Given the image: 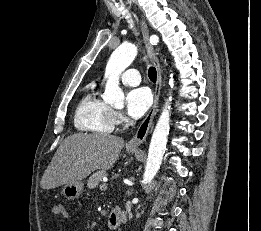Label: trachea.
I'll list each match as a JSON object with an SVG mask.
<instances>
[{
	"mask_svg": "<svg viewBox=\"0 0 261 231\" xmlns=\"http://www.w3.org/2000/svg\"><path fill=\"white\" fill-rule=\"evenodd\" d=\"M148 76H149V79H150L152 82H156L157 72H156L155 67H150V68H149V70H148Z\"/></svg>",
	"mask_w": 261,
	"mask_h": 231,
	"instance_id": "trachea-1",
	"label": "trachea"
}]
</instances>
